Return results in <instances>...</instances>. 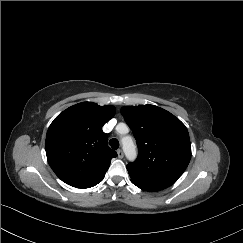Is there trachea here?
Wrapping results in <instances>:
<instances>
[{
    "mask_svg": "<svg viewBox=\"0 0 243 243\" xmlns=\"http://www.w3.org/2000/svg\"><path fill=\"white\" fill-rule=\"evenodd\" d=\"M109 144L115 150L119 148V141L117 139H115V138L111 139L109 141Z\"/></svg>",
    "mask_w": 243,
    "mask_h": 243,
    "instance_id": "obj_1",
    "label": "trachea"
}]
</instances>
